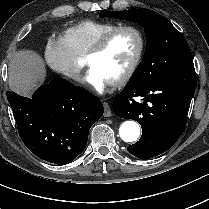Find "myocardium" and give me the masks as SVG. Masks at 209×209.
<instances>
[{"label":"myocardium","instance_id":"obj_1","mask_svg":"<svg viewBox=\"0 0 209 209\" xmlns=\"http://www.w3.org/2000/svg\"><path fill=\"white\" fill-rule=\"evenodd\" d=\"M121 31H132L133 33H135L138 39V50L125 73L120 78L112 82V84L116 86L123 85L130 81L137 71L146 47V40L142 30L137 26L131 24L116 26L107 31L102 37H100L85 55V61L87 63L88 59H90L91 57L101 54L110 43L112 37Z\"/></svg>","mask_w":209,"mask_h":209}]
</instances>
